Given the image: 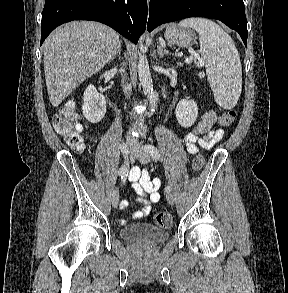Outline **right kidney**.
<instances>
[{"instance_id": "right-kidney-1", "label": "right kidney", "mask_w": 288, "mask_h": 293, "mask_svg": "<svg viewBox=\"0 0 288 293\" xmlns=\"http://www.w3.org/2000/svg\"><path fill=\"white\" fill-rule=\"evenodd\" d=\"M83 115L91 123L100 122L106 113V100L105 97L99 94L94 87L90 84L83 95Z\"/></svg>"}]
</instances>
